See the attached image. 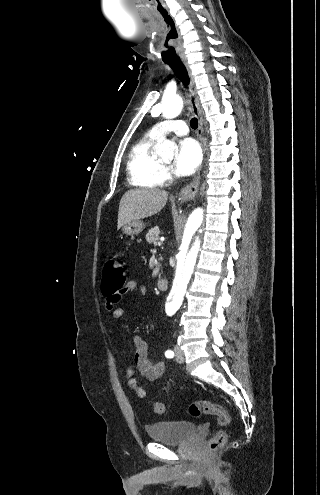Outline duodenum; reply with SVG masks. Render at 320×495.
<instances>
[{
  "mask_svg": "<svg viewBox=\"0 0 320 495\" xmlns=\"http://www.w3.org/2000/svg\"><path fill=\"white\" fill-rule=\"evenodd\" d=\"M169 283L165 278L159 279L157 283V287L161 291H166L168 289Z\"/></svg>",
  "mask_w": 320,
  "mask_h": 495,
  "instance_id": "duodenum-1",
  "label": "duodenum"
}]
</instances>
